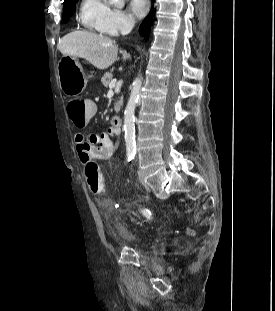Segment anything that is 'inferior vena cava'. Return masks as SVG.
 <instances>
[{"mask_svg": "<svg viewBox=\"0 0 275 311\" xmlns=\"http://www.w3.org/2000/svg\"><path fill=\"white\" fill-rule=\"evenodd\" d=\"M132 28H133V22L125 20L120 25V32L122 35H126L131 32Z\"/></svg>", "mask_w": 275, "mask_h": 311, "instance_id": "1", "label": "inferior vena cava"}]
</instances>
